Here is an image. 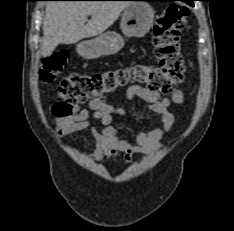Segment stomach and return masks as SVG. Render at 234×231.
Masks as SVG:
<instances>
[{"instance_id": "stomach-1", "label": "stomach", "mask_w": 234, "mask_h": 231, "mask_svg": "<svg viewBox=\"0 0 234 231\" xmlns=\"http://www.w3.org/2000/svg\"><path fill=\"white\" fill-rule=\"evenodd\" d=\"M153 21L154 10L148 3L131 2L122 13L120 28L125 37L141 38L149 32ZM124 44L121 34L108 31L78 44L77 52L86 59H96L117 53Z\"/></svg>"}]
</instances>
